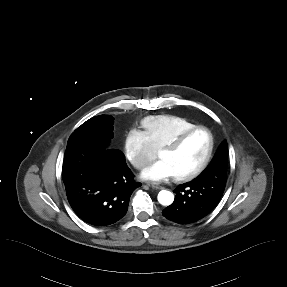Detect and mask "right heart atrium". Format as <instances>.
<instances>
[{
    "instance_id": "d8ad5b80",
    "label": "right heart atrium",
    "mask_w": 287,
    "mask_h": 287,
    "mask_svg": "<svg viewBox=\"0 0 287 287\" xmlns=\"http://www.w3.org/2000/svg\"><path fill=\"white\" fill-rule=\"evenodd\" d=\"M123 149L126 159L139 170L146 167L157 155L145 133L137 129L126 133Z\"/></svg>"
}]
</instances>
